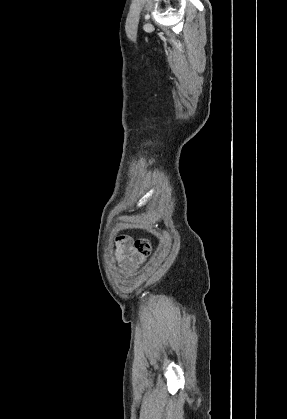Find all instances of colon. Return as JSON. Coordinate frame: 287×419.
<instances>
[{
	"label": "colon",
	"mask_w": 287,
	"mask_h": 419,
	"mask_svg": "<svg viewBox=\"0 0 287 419\" xmlns=\"http://www.w3.org/2000/svg\"><path fill=\"white\" fill-rule=\"evenodd\" d=\"M135 248L142 254H148L150 252V245L145 240L136 241Z\"/></svg>",
	"instance_id": "obj_1"
}]
</instances>
